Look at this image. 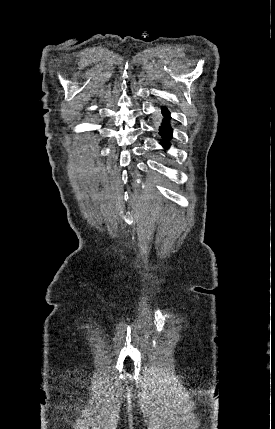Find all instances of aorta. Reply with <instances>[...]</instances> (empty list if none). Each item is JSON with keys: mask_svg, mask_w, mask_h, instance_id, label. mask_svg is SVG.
<instances>
[{"mask_svg": "<svg viewBox=\"0 0 275 429\" xmlns=\"http://www.w3.org/2000/svg\"><path fill=\"white\" fill-rule=\"evenodd\" d=\"M154 115L157 119H162L163 117L162 111L160 109H157Z\"/></svg>", "mask_w": 275, "mask_h": 429, "instance_id": "aorta-1", "label": "aorta"}]
</instances>
